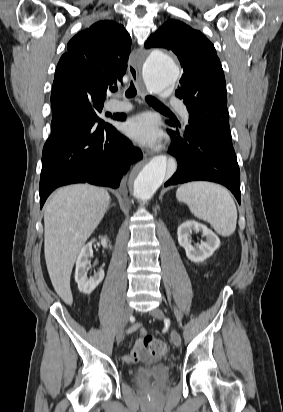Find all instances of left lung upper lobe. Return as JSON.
<instances>
[{"label": "left lung upper lobe", "instance_id": "1", "mask_svg": "<svg viewBox=\"0 0 283 412\" xmlns=\"http://www.w3.org/2000/svg\"><path fill=\"white\" fill-rule=\"evenodd\" d=\"M145 47L165 48L178 56L183 74L175 95L188 109L189 124L232 145L225 77L213 44L200 31L169 20L150 36Z\"/></svg>", "mask_w": 283, "mask_h": 412}]
</instances>
